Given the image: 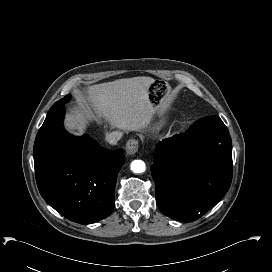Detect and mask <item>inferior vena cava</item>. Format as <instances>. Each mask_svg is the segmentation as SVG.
I'll use <instances>...</instances> for the list:
<instances>
[{
  "label": "inferior vena cava",
  "mask_w": 272,
  "mask_h": 272,
  "mask_svg": "<svg viewBox=\"0 0 272 272\" xmlns=\"http://www.w3.org/2000/svg\"><path fill=\"white\" fill-rule=\"evenodd\" d=\"M122 133L119 131H114L106 135V140L111 145H116L117 142L121 139Z\"/></svg>",
  "instance_id": "1"
}]
</instances>
